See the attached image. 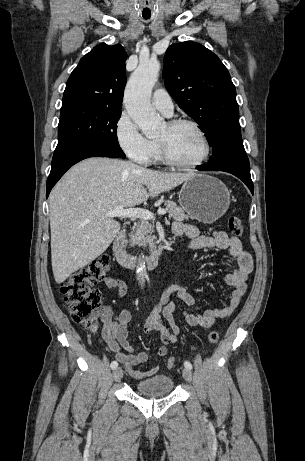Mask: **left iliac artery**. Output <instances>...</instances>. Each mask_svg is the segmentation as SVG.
Here are the masks:
<instances>
[{"mask_svg": "<svg viewBox=\"0 0 305 461\" xmlns=\"http://www.w3.org/2000/svg\"><path fill=\"white\" fill-rule=\"evenodd\" d=\"M185 368L192 369V364L189 361L184 362Z\"/></svg>", "mask_w": 305, "mask_h": 461, "instance_id": "44dca946", "label": "left iliac artery"}]
</instances>
